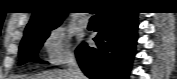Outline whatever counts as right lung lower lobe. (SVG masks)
<instances>
[{
    "instance_id": "obj_1",
    "label": "right lung lower lobe",
    "mask_w": 177,
    "mask_h": 79,
    "mask_svg": "<svg viewBox=\"0 0 177 79\" xmlns=\"http://www.w3.org/2000/svg\"><path fill=\"white\" fill-rule=\"evenodd\" d=\"M97 47L82 43L78 63L90 79H127L137 41V13L104 9L97 12Z\"/></svg>"
}]
</instances>
